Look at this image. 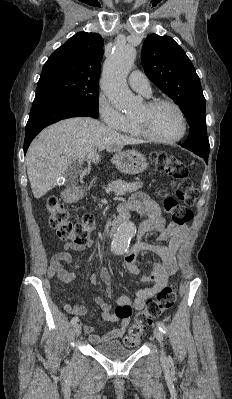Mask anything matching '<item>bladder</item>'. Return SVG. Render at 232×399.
<instances>
[{
  "label": "bladder",
  "instance_id": "31cf9c89",
  "mask_svg": "<svg viewBox=\"0 0 232 399\" xmlns=\"http://www.w3.org/2000/svg\"><path fill=\"white\" fill-rule=\"evenodd\" d=\"M94 350L111 360H121L129 357L135 351L125 346L119 340H111L94 346Z\"/></svg>",
  "mask_w": 232,
  "mask_h": 399
}]
</instances>
